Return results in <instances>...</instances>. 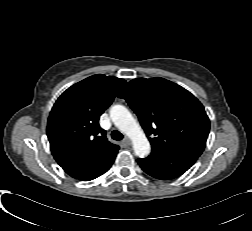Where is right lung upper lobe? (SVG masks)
Segmentation results:
<instances>
[{
	"label": "right lung upper lobe",
	"instance_id": "obj_1",
	"mask_svg": "<svg viewBox=\"0 0 252 231\" xmlns=\"http://www.w3.org/2000/svg\"><path fill=\"white\" fill-rule=\"evenodd\" d=\"M125 80L93 75L68 88L55 102L47 123L51 152L71 177L93 180L113 164L119 147L99 126Z\"/></svg>",
	"mask_w": 252,
	"mask_h": 231
}]
</instances>
